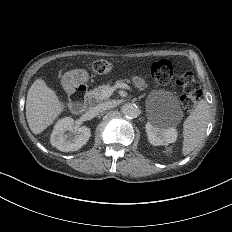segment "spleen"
<instances>
[{
  "mask_svg": "<svg viewBox=\"0 0 232 232\" xmlns=\"http://www.w3.org/2000/svg\"><path fill=\"white\" fill-rule=\"evenodd\" d=\"M209 119V104L206 99H201L183 122L182 155L190 154L200 144L207 130Z\"/></svg>",
  "mask_w": 232,
  "mask_h": 232,
  "instance_id": "3e777b00",
  "label": "spleen"
}]
</instances>
